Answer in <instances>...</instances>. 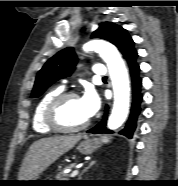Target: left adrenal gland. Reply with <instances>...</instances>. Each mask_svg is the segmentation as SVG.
<instances>
[{"label": "left adrenal gland", "instance_id": "1", "mask_svg": "<svg viewBox=\"0 0 178 186\" xmlns=\"http://www.w3.org/2000/svg\"><path fill=\"white\" fill-rule=\"evenodd\" d=\"M96 163V161H91L90 163H89V165L87 166V167H85V169L82 171V173L79 175V181L81 180V177H82V175L85 173V172H87L88 171V169L90 168V167H92L94 164Z\"/></svg>", "mask_w": 178, "mask_h": 186}]
</instances>
